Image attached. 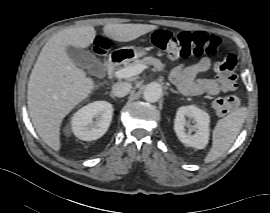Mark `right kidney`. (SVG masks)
Returning <instances> with one entry per match:
<instances>
[{
    "mask_svg": "<svg viewBox=\"0 0 270 213\" xmlns=\"http://www.w3.org/2000/svg\"><path fill=\"white\" fill-rule=\"evenodd\" d=\"M112 115L113 106L109 102L96 101L90 103L78 110L72 117V132L80 140H96L108 130Z\"/></svg>",
    "mask_w": 270,
    "mask_h": 213,
    "instance_id": "right-kidney-1",
    "label": "right kidney"
}]
</instances>
